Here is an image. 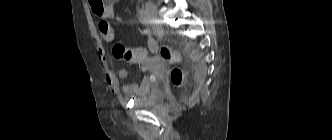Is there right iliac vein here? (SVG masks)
<instances>
[{"label": "right iliac vein", "mask_w": 332, "mask_h": 140, "mask_svg": "<svg viewBox=\"0 0 332 140\" xmlns=\"http://www.w3.org/2000/svg\"><path fill=\"white\" fill-rule=\"evenodd\" d=\"M145 11H146L148 19L152 23L157 22V19H158L157 18V8H156V5L153 2L148 1V2L145 3Z\"/></svg>", "instance_id": "63e3f726"}]
</instances>
